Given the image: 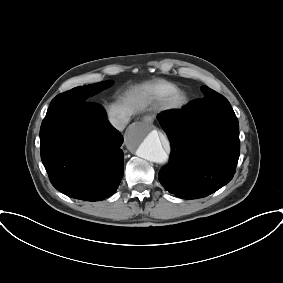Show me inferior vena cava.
I'll return each mask as SVG.
<instances>
[{"label":"inferior vena cava","mask_w":283,"mask_h":283,"mask_svg":"<svg viewBox=\"0 0 283 283\" xmlns=\"http://www.w3.org/2000/svg\"><path fill=\"white\" fill-rule=\"evenodd\" d=\"M129 120L130 116L124 115L110 118V123L117 130L122 131L125 128L126 124L129 122Z\"/></svg>","instance_id":"1"}]
</instances>
